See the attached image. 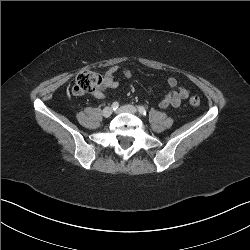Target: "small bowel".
<instances>
[{
	"label": "small bowel",
	"instance_id": "1",
	"mask_svg": "<svg viewBox=\"0 0 250 250\" xmlns=\"http://www.w3.org/2000/svg\"><path fill=\"white\" fill-rule=\"evenodd\" d=\"M121 74L127 78L131 77L132 71L129 68L121 66H112L108 68L102 79L101 86L93 92V96L98 99L106 97V91L115 89L119 86L118 81L115 80V75ZM167 86L169 91L163 96L159 102L160 108L178 107L183 100L188 98L190 90L183 86H178V82L174 77L167 78Z\"/></svg>",
	"mask_w": 250,
	"mask_h": 250
}]
</instances>
